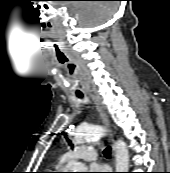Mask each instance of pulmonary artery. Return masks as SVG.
<instances>
[{
    "label": "pulmonary artery",
    "mask_w": 170,
    "mask_h": 173,
    "mask_svg": "<svg viewBox=\"0 0 170 173\" xmlns=\"http://www.w3.org/2000/svg\"><path fill=\"white\" fill-rule=\"evenodd\" d=\"M97 158V152L93 146H78L74 150L63 155L64 162H73L76 160L94 161Z\"/></svg>",
    "instance_id": "pulmonary-artery-1"
}]
</instances>
